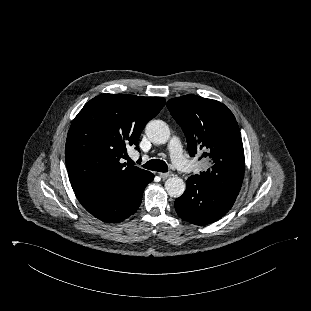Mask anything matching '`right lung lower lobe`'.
Returning <instances> with one entry per match:
<instances>
[{"mask_svg":"<svg viewBox=\"0 0 311 311\" xmlns=\"http://www.w3.org/2000/svg\"><path fill=\"white\" fill-rule=\"evenodd\" d=\"M154 179H148L130 192H114L101 188L74 190L83 207L97 219L106 223L124 221L133 215L142 201L143 191Z\"/></svg>","mask_w":311,"mask_h":311,"instance_id":"1","label":"right lung lower lobe"}]
</instances>
